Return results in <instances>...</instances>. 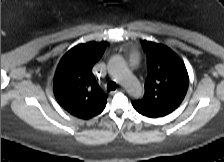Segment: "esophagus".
Wrapping results in <instances>:
<instances>
[{
    "label": "esophagus",
    "mask_w": 224,
    "mask_h": 162,
    "mask_svg": "<svg viewBox=\"0 0 224 162\" xmlns=\"http://www.w3.org/2000/svg\"><path fill=\"white\" fill-rule=\"evenodd\" d=\"M124 90L122 89V88H120V89H118V90H115V91H112V92H110V94L111 95H114V94H116V93H118V92H123Z\"/></svg>",
    "instance_id": "obj_1"
}]
</instances>
